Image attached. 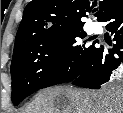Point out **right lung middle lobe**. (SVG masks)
Masks as SVG:
<instances>
[{
	"mask_svg": "<svg viewBox=\"0 0 123 113\" xmlns=\"http://www.w3.org/2000/svg\"><path fill=\"white\" fill-rule=\"evenodd\" d=\"M85 37L79 28L16 46L11 62L13 104L39 89L77 78L98 43L89 46L82 41Z\"/></svg>",
	"mask_w": 123,
	"mask_h": 113,
	"instance_id": "1",
	"label": "right lung middle lobe"
}]
</instances>
